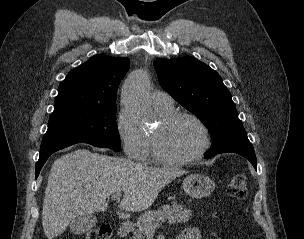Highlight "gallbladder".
Listing matches in <instances>:
<instances>
[{
    "label": "gallbladder",
    "mask_w": 304,
    "mask_h": 239,
    "mask_svg": "<svg viewBox=\"0 0 304 239\" xmlns=\"http://www.w3.org/2000/svg\"><path fill=\"white\" fill-rule=\"evenodd\" d=\"M97 220L93 215L77 216L70 224V232L76 235L83 234L95 226Z\"/></svg>",
    "instance_id": "bac80fb5"
}]
</instances>
